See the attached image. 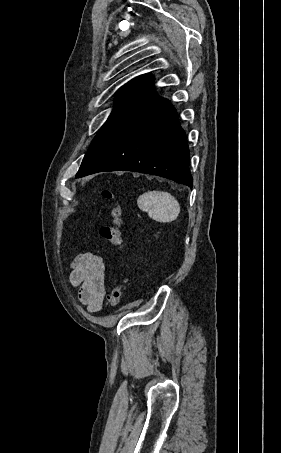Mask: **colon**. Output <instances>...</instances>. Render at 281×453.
Masks as SVG:
<instances>
[{
	"mask_svg": "<svg viewBox=\"0 0 281 453\" xmlns=\"http://www.w3.org/2000/svg\"><path fill=\"white\" fill-rule=\"evenodd\" d=\"M103 197L112 202V215L110 224L102 226L99 230L100 235L112 247L121 248L124 245L122 237V229L125 226L126 218L123 211V203L120 196V188L118 184H111L101 190ZM124 296V289L120 284H114L105 301L106 308H113L121 303Z\"/></svg>",
	"mask_w": 281,
	"mask_h": 453,
	"instance_id": "colon-1",
	"label": "colon"
}]
</instances>
